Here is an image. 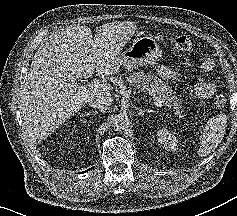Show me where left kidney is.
<instances>
[{
  "label": "left kidney",
  "instance_id": "1",
  "mask_svg": "<svg viewBox=\"0 0 237 216\" xmlns=\"http://www.w3.org/2000/svg\"><path fill=\"white\" fill-rule=\"evenodd\" d=\"M157 141L165 150L176 151L178 149V140L176 136L166 128L157 131Z\"/></svg>",
  "mask_w": 237,
  "mask_h": 216
}]
</instances>
